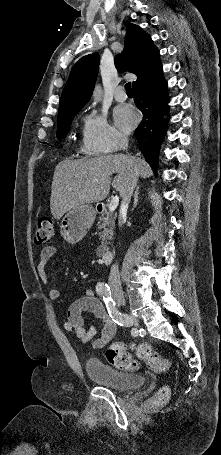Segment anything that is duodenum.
<instances>
[{
    "instance_id": "obj_1",
    "label": "duodenum",
    "mask_w": 221,
    "mask_h": 455,
    "mask_svg": "<svg viewBox=\"0 0 221 455\" xmlns=\"http://www.w3.org/2000/svg\"><path fill=\"white\" fill-rule=\"evenodd\" d=\"M98 211L100 213L104 212L105 211V208H102V207H98ZM101 258L102 260L105 262V263H109L112 261V258H113V252L111 250H105L102 252L101 254Z\"/></svg>"
}]
</instances>
